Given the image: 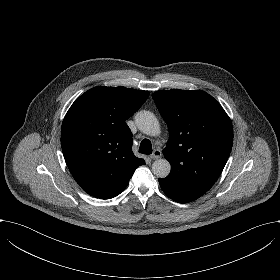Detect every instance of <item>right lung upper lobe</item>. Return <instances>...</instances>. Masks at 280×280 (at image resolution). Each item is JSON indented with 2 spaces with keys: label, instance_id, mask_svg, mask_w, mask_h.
Returning a JSON list of instances; mask_svg holds the SVG:
<instances>
[{
  "label": "right lung upper lobe",
  "instance_id": "cb5924a9",
  "mask_svg": "<svg viewBox=\"0 0 280 280\" xmlns=\"http://www.w3.org/2000/svg\"><path fill=\"white\" fill-rule=\"evenodd\" d=\"M148 96V91L99 86L82 94L68 110L61 147L72 176L89 195L117 196L145 164L132 152V133L125 121Z\"/></svg>",
  "mask_w": 280,
  "mask_h": 280
}]
</instances>
